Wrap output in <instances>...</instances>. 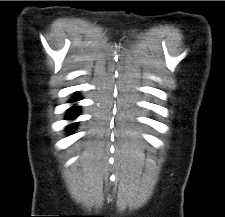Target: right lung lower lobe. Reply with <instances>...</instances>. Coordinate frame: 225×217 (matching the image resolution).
Segmentation results:
<instances>
[{"label":"right lung lower lobe","instance_id":"98d812e1","mask_svg":"<svg viewBox=\"0 0 225 217\" xmlns=\"http://www.w3.org/2000/svg\"><path fill=\"white\" fill-rule=\"evenodd\" d=\"M79 100V98H75L72 99L70 102H75ZM79 115V108L78 106H73L68 110V115H67V119H74L75 117H77ZM75 124H71L69 125V127H73Z\"/></svg>","mask_w":225,"mask_h":217}]
</instances>
